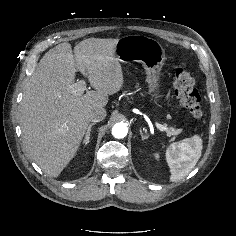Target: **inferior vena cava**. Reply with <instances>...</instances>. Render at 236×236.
Returning <instances> with one entry per match:
<instances>
[{
  "label": "inferior vena cava",
  "mask_w": 236,
  "mask_h": 236,
  "mask_svg": "<svg viewBox=\"0 0 236 236\" xmlns=\"http://www.w3.org/2000/svg\"><path fill=\"white\" fill-rule=\"evenodd\" d=\"M86 117L88 121H102L106 117V110L103 107H94L87 113Z\"/></svg>",
  "instance_id": "obj_1"
}]
</instances>
